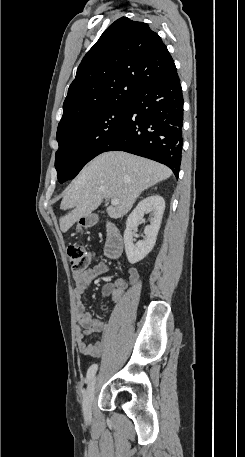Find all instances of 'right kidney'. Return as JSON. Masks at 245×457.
Listing matches in <instances>:
<instances>
[{
	"mask_svg": "<svg viewBox=\"0 0 245 457\" xmlns=\"http://www.w3.org/2000/svg\"><path fill=\"white\" fill-rule=\"evenodd\" d=\"M164 210L165 200L163 196L152 194V196H147V198L140 200L136 208L129 214L124 231V243L126 257L131 265L142 261L152 251L156 243ZM146 212H150V224H147L144 229L146 239L145 241H138L134 245L132 231L135 226H138V222H145L143 216Z\"/></svg>",
	"mask_w": 245,
	"mask_h": 457,
	"instance_id": "1",
	"label": "right kidney"
}]
</instances>
